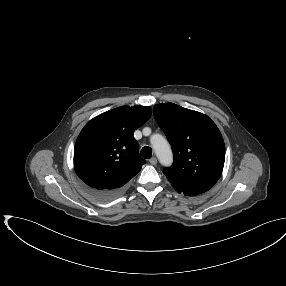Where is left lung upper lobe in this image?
I'll use <instances>...</instances> for the list:
<instances>
[{
    "label": "left lung upper lobe",
    "instance_id": "left-lung-upper-lobe-1",
    "mask_svg": "<svg viewBox=\"0 0 286 286\" xmlns=\"http://www.w3.org/2000/svg\"><path fill=\"white\" fill-rule=\"evenodd\" d=\"M154 117L173 150V165L163 173L175 190L188 195L211 189L225 161L224 141L215 123L174 103L155 105Z\"/></svg>",
    "mask_w": 286,
    "mask_h": 286
}]
</instances>
